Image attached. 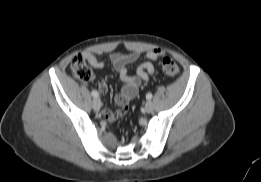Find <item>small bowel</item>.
I'll return each instance as SVG.
<instances>
[{"label": "small bowel", "mask_w": 261, "mask_h": 182, "mask_svg": "<svg viewBox=\"0 0 261 182\" xmlns=\"http://www.w3.org/2000/svg\"><path fill=\"white\" fill-rule=\"evenodd\" d=\"M81 56L96 69L106 66L105 61L99 60L92 52H83ZM164 56L165 52L160 48H154L144 53L137 51L130 53L115 52L109 55L108 59L119 74L122 87L120 92L115 96V103L118 109L115 111L104 109L102 111L103 117L107 121L113 122L127 113L129 102L137 95L140 85L143 82L149 81L155 72L152 62ZM140 58L143 59V62L137 66L136 75L130 74L129 69ZM99 90L103 95L108 92V86L104 80L99 81Z\"/></svg>", "instance_id": "obj_1"}]
</instances>
